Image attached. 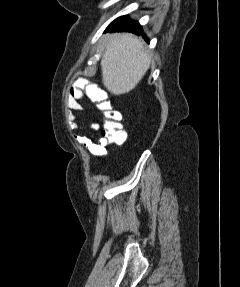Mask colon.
I'll return each instance as SVG.
<instances>
[{"instance_id":"5ec220e1","label":"colon","mask_w":240,"mask_h":287,"mask_svg":"<svg viewBox=\"0 0 240 287\" xmlns=\"http://www.w3.org/2000/svg\"><path fill=\"white\" fill-rule=\"evenodd\" d=\"M90 97L105 115L102 137L107 143L122 144L126 139V133L121 124V113L113 108L111 102L100 91L90 90Z\"/></svg>"}]
</instances>
